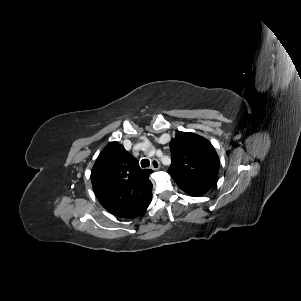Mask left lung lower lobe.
<instances>
[{
	"mask_svg": "<svg viewBox=\"0 0 301 301\" xmlns=\"http://www.w3.org/2000/svg\"><path fill=\"white\" fill-rule=\"evenodd\" d=\"M192 196H201V195H192Z\"/></svg>",
	"mask_w": 301,
	"mask_h": 301,
	"instance_id": "obj_1",
	"label": "left lung lower lobe"
}]
</instances>
